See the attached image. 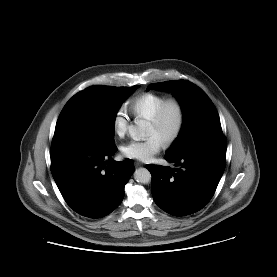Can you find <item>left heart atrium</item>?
<instances>
[{
  "instance_id": "39dd6f15",
  "label": "left heart atrium",
  "mask_w": 277,
  "mask_h": 277,
  "mask_svg": "<svg viewBox=\"0 0 277 277\" xmlns=\"http://www.w3.org/2000/svg\"><path fill=\"white\" fill-rule=\"evenodd\" d=\"M163 147V141L156 135H150L143 140H132L126 143L123 148V154L139 161H149Z\"/></svg>"
}]
</instances>
